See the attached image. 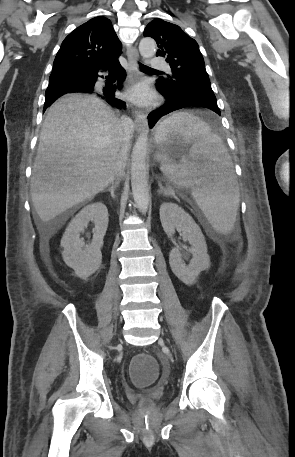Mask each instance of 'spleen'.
<instances>
[{"label": "spleen", "instance_id": "3e777b00", "mask_svg": "<svg viewBox=\"0 0 295 457\" xmlns=\"http://www.w3.org/2000/svg\"><path fill=\"white\" fill-rule=\"evenodd\" d=\"M180 133L189 142L198 137L189 151V162L165 161L164 176L175 185L189 188L197 205L220 234L231 233L236 222L240 194L233 164L221 139L199 117L177 112L157 128L155 140L161 143L168 133Z\"/></svg>", "mask_w": 295, "mask_h": 457}]
</instances>
